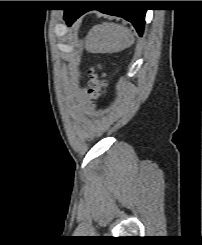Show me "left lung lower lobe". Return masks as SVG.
Returning a JSON list of instances; mask_svg holds the SVG:
<instances>
[{"mask_svg": "<svg viewBox=\"0 0 202 245\" xmlns=\"http://www.w3.org/2000/svg\"><path fill=\"white\" fill-rule=\"evenodd\" d=\"M125 4H134L131 2H126ZM89 10L85 9H67L65 10L64 19L68 25H71L79 16L84 14ZM103 13L109 15H116L118 17H123L127 21H130L133 26L136 28L138 34L142 36L145 24V13L146 10L139 8H115V9H105L99 10Z\"/></svg>", "mask_w": 202, "mask_h": 245, "instance_id": "left-lung-lower-lobe-1", "label": "left lung lower lobe"}]
</instances>
